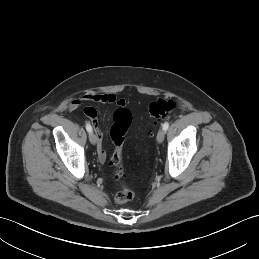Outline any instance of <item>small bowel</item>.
Segmentation results:
<instances>
[{"label":"small bowel","instance_id":"1","mask_svg":"<svg viewBox=\"0 0 259 259\" xmlns=\"http://www.w3.org/2000/svg\"><path fill=\"white\" fill-rule=\"evenodd\" d=\"M82 102H92V103H100V104H113L119 108L126 107V101L123 98L117 97L114 94L110 93H88L84 94L70 104V109L75 110L79 107ZM84 114L90 119L93 127L95 129L96 137H97V156L100 162H105L107 158V151L103 146L102 139L103 133L97 122V111L92 107H85Z\"/></svg>","mask_w":259,"mask_h":259}]
</instances>
